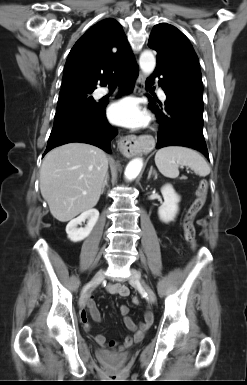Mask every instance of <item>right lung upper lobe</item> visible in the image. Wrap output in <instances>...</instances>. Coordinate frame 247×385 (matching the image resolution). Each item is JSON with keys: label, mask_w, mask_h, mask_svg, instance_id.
I'll use <instances>...</instances> for the list:
<instances>
[{"label": "right lung upper lobe", "mask_w": 247, "mask_h": 385, "mask_svg": "<svg viewBox=\"0 0 247 385\" xmlns=\"http://www.w3.org/2000/svg\"><path fill=\"white\" fill-rule=\"evenodd\" d=\"M136 64L121 25L114 19H104L75 43L67 58L62 89H96L98 81L105 84L121 76Z\"/></svg>", "instance_id": "1"}]
</instances>
